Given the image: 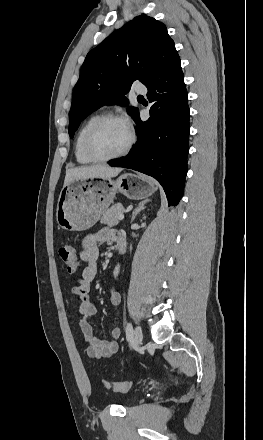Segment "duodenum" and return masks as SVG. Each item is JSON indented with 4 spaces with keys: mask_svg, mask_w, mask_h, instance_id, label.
Returning a JSON list of instances; mask_svg holds the SVG:
<instances>
[{
    "mask_svg": "<svg viewBox=\"0 0 263 440\" xmlns=\"http://www.w3.org/2000/svg\"><path fill=\"white\" fill-rule=\"evenodd\" d=\"M119 252L124 253L125 252V241H122L118 244Z\"/></svg>",
    "mask_w": 263,
    "mask_h": 440,
    "instance_id": "obj_1",
    "label": "duodenum"
}]
</instances>
